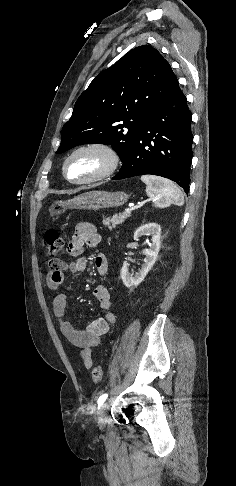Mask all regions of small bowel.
<instances>
[{
	"label": "small bowel",
	"instance_id": "1",
	"mask_svg": "<svg viewBox=\"0 0 236 486\" xmlns=\"http://www.w3.org/2000/svg\"><path fill=\"white\" fill-rule=\"evenodd\" d=\"M101 242V236L93 224L82 222L75 226L74 234L67 246L70 256L76 257L72 262H65L61 259L49 261V270L46 276V284L50 290H57L65 285L64 272L80 274L87 267L85 257H80L85 246L95 247ZM96 269L100 275H105L109 268L107 257L104 254H97L94 259ZM93 295L99 302L101 309L106 311L104 317L97 318L90 322L84 330L78 329L67 317L68 296L65 293H58L52 301L53 312L59 324L60 330L70 343L80 349V357L86 369L93 366L92 349L99 345L101 338L108 334L111 327L115 325L117 317L112 311V301L109 290L103 285L93 290Z\"/></svg>",
	"mask_w": 236,
	"mask_h": 486
}]
</instances>
